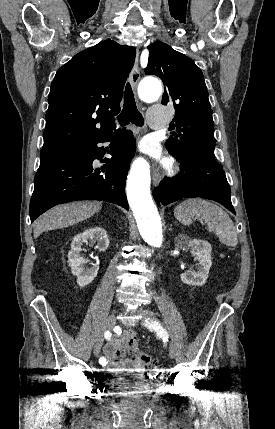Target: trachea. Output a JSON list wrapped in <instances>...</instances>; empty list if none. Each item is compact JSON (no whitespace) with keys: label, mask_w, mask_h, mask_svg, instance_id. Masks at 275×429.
Here are the masks:
<instances>
[{"label":"trachea","mask_w":275,"mask_h":429,"mask_svg":"<svg viewBox=\"0 0 275 429\" xmlns=\"http://www.w3.org/2000/svg\"><path fill=\"white\" fill-rule=\"evenodd\" d=\"M120 125H127L130 122L136 126H143L144 118L138 111L134 94L129 83H127L124 93V106L121 114L118 117Z\"/></svg>","instance_id":"3493384b"}]
</instances>
